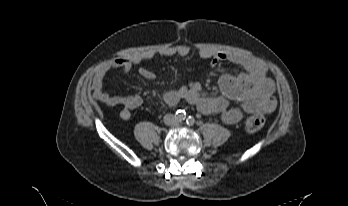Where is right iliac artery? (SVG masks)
<instances>
[{
    "label": "right iliac artery",
    "instance_id": "obj_1",
    "mask_svg": "<svg viewBox=\"0 0 348 206\" xmlns=\"http://www.w3.org/2000/svg\"><path fill=\"white\" fill-rule=\"evenodd\" d=\"M177 118L181 121V120H184L186 118V113L184 110H180L178 111L177 113Z\"/></svg>",
    "mask_w": 348,
    "mask_h": 206
}]
</instances>
